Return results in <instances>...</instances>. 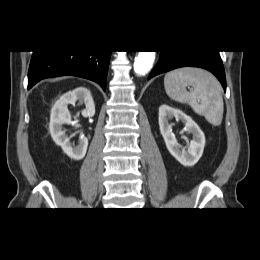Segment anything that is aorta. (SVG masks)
<instances>
[{
    "label": "aorta",
    "instance_id": "aorta-1",
    "mask_svg": "<svg viewBox=\"0 0 260 260\" xmlns=\"http://www.w3.org/2000/svg\"><path fill=\"white\" fill-rule=\"evenodd\" d=\"M155 60V51H140L135 58L134 71L137 75H145Z\"/></svg>",
    "mask_w": 260,
    "mask_h": 260
}]
</instances>
